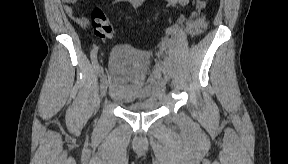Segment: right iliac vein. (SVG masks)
Returning <instances> with one entry per match:
<instances>
[{"label": "right iliac vein", "instance_id": "right-iliac-vein-1", "mask_svg": "<svg viewBox=\"0 0 288 164\" xmlns=\"http://www.w3.org/2000/svg\"><path fill=\"white\" fill-rule=\"evenodd\" d=\"M107 87H108V82H107L106 76L103 74L101 76V84H100V91H101L102 97L106 95Z\"/></svg>", "mask_w": 288, "mask_h": 164}]
</instances>
